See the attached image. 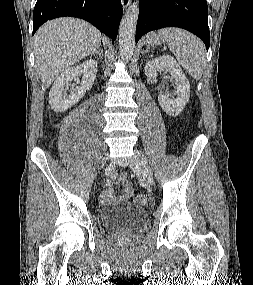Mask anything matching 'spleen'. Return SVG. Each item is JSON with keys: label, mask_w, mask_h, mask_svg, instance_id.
<instances>
[{"label": "spleen", "mask_w": 253, "mask_h": 285, "mask_svg": "<svg viewBox=\"0 0 253 285\" xmlns=\"http://www.w3.org/2000/svg\"><path fill=\"white\" fill-rule=\"evenodd\" d=\"M167 41L179 64L196 80L202 77L206 63L205 46L195 35L178 28L158 32Z\"/></svg>", "instance_id": "spleen-1"}]
</instances>
